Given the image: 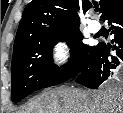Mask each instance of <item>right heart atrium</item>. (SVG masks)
Instances as JSON below:
<instances>
[{
  "label": "right heart atrium",
  "mask_w": 123,
  "mask_h": 113,
  "mask_svg": "<svg viewBox=\"0 0 123 113\" xmlns=\"http://www.w3.org/2000/svg\"><path fill=\"white\" fill-rule=\"evenodd\" d=\"M50 58L57 71H66L74 60V48L71 39L63 37L54 41L50 48Z\"/></svg>",
  "instance_id": "obj_1"
}]
</instances>
